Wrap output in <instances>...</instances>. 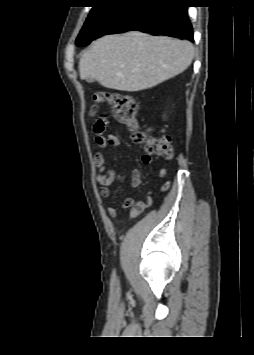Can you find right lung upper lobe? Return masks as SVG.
<instances>
[{"mask_svg":"<svg viewBox=\"0 0 254 355\" xmlns=\"http://www.w3.org/2000/svg\"><path fill=\"white\" fill-rule=\"evenodd\" d=\"M132 1H134V0H95L96 3L116 2V3H119V4L132 2Z\"/></svg>","mask_w":254,"mask_h":355,"instance_id":"right-lung-upper-lobe-1","label":"right lung upper lobe"}]
</instances>
